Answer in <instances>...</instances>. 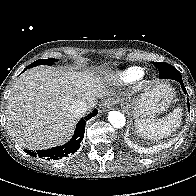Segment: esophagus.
<instances>
[{"instance_id":"1","label":"esophagus","mask_w":196,"mask_h":196,"mask_svg":"<svg viewBox=\"0 0 196 196\" xmlns=\"http://www.w3.org/2000/svg\"><path fill=\"white\" fill-rule=\"evenodd\" d=\"M116 103V101L114 99H106L103 102H101V104L99 105L100 111H108L112 105H114Z\"/></svg>"}]
</instances>
